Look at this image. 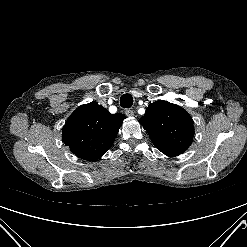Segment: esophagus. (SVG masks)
<instances>
[{"mask_svg":"<svg viewBox=\"0 0 247 247\" xmlns=\"http://www.w3.org/2000/svg\"><path fill=\"white\" fill-rule=\"evenodd\" d=\"M125 114H126V116H128V117H132V116H134V111L131 110V109H127V110L125 111Z\"/></svg>","mask_w":247,"mask_h":247,"instance_id":"esophagus-1","label":"esophagus"}]
</instances>
